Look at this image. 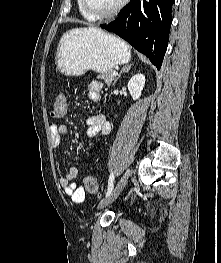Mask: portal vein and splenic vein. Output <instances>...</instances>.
<instances>
[{
	"mask_svg": "<svg viewBox=\"0 0 221 263\" xmlns=\"http://www.w3.org/2000/svg\"><path fill=\"white\" fill-rule=\"evenodd\" d=\"M113 75H114V76L118 75V72L113 71Z\"/></svg>",
	"mask_w": 221,
	"mask_h": 263,
	"instance_id": "portal-vein-and-splenic-vein-1",
	"label": "portal vein and splenic vein"
}]
</instances>
